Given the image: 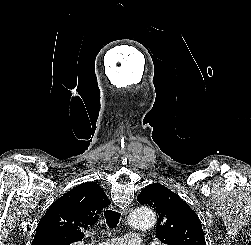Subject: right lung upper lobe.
Listing matches in <instances>:
<instances>
[{"instance_id": "1", "label": "right lung upper lobe", "mask_w": 251, "mask_h": 245, "mask_svg": "<svg viewBox=\"0 0 251 245\" xmlns=\"http://www.w3.org/2000/svg\"><path fill=\"white\" fill-rule=\"evenodd\" d=\"M110 203L98 184L86 182L76 186L46 211L32 245H71L82 240V231L94 225Z\"/></svg>"}]
</instances>
